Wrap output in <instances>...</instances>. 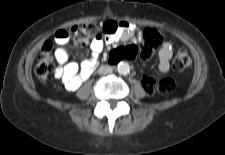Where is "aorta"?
Masks as SVG:
<instances>
[{
    "instance_id": "aorta-1",
    "label": "aorta",
    "mask_w": 225,
    "mask_h": 155,
    "mask_svg": "<svg viewBox=\"0 0 225 155\" xmlns=\"http://www.w3.org/2000/svg\"><path fill=\"white\" fill-rule=\"evenodd\" d=\"M117 71L119 74L126 75L130 72V66L127 62H120L117 65Z\"/></svg>"
}]
</instances>
